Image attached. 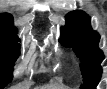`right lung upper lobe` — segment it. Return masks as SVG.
Wrapping results in <instances>:
<instances>
[{"label": "right lung upper lobe", "instance_id": "obj_1", "mask_svg": "<svg viewBox=\"0 0 107 89\" xmlns=\"http://www.w3.org/2000/svg\"><path fill=\"white\" fill-rule=\"evenodd\" d=\"M0 26L13 27V17L8 13L1 14L0 15Z\"/></svg>", "mask_w": 107, "mask_h": 89}]
</instances>
